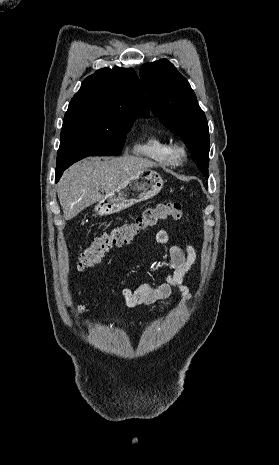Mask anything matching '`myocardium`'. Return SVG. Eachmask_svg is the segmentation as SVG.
<instances>
[{"label": "myocardium", "mask_w": 279, "mask_h": 465, "mask_svg": "<svg viewBox=\"0 0 279 465\" xmlns=\"http://www.w3.org/2000/svg\"><path fill=\"white\" fill-rule=\"evenodd\" d=\"M170 154L174 162L181 163L187 155L186 147L181 142H175L170 145Z\"/></svg>", "instance_id": "myocardium-1"}]
</instances>
